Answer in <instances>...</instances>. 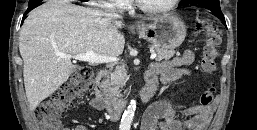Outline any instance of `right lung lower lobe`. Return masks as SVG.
Returning a JSON list of instances; mask_svg holds the SVG:
<instances>
[{
    "label": "right lung lower lobe",
    "mask_w": 257,
    "mask_h": 130,
    "mask_svg": "<svg viewBox=\"0 0 257 130\" xmlns=\"http://www.w3.org/2000/svg\"><path fill=\"white\" fill-rule=\"evenodd\" d=\"M33 1H34V2H33L32 4H29V7H28L26 13H25L24 16H23L22 21L25 20V18H26L25 15H26L29 11H31L32 9H34L35 7H37V6L39 5V2H37V1H35V0H33Z\"/></svg>",
    "instance_id": "1"
}]
</instances>
